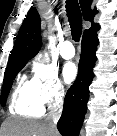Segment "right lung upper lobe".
Segmentation results:
<instances>
[{
  "label": "right lung upper lobe",
  "instance_id": "1",
  "mask_svg": "<svg viewBox=\"0 0 117 136\" xmlns=\"http://www.w3.org/2000/svg\"><path fill=\"white\" fill-rule=\"evenodd\" d=\"M79 2L84 20L92 23L90 29L85 30L84 34L99 30V24L93 22L97 10L91 9L92 0H79ZM40 25V16L32 7L19 30L8 64L18 60H30L39 52L42 45Z\"/></svg>",
  "mask_w": 117,
  "mask_h": 136
}]
</instances>
